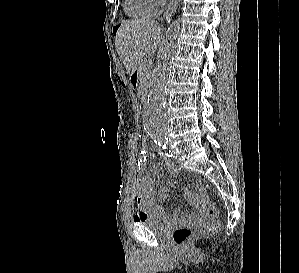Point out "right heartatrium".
I'll use <instances>...</instances> for the list:
<instances>
[{
  "label": "right heart atrium",
  "mask_w": 299,
  "mask_h": 273,
  "mask_svg": "<svg viewBox=\"0 0 299 273\" xmlns=\"http://www.w3.org/2000/svg\"><path fill=\"white\" fill-rule=\"evenodd\" d=\"M149 9L153 12L158 9L163 0H144Z\"/></svg>",
  "instance_id": "obj_1"
}]
</instances>
